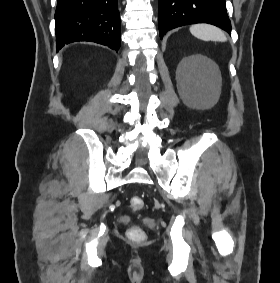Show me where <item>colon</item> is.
<instances>
[{"label": "colon", "mask_w": 280, "mask_h": 283, "mask_svg": "<svg viewBox=\"0 0 280 283\" xmlns=\"http://www.w3.org/2000/svg\"><path fill=\"white\" fill-rule=\"evenodd\" d=\"M130 205L131 208L135 211H139L143 208L144 206V201L141 197H132L130 200ZM128 235L132 238V239H137V240H141L144 238V232L141 228L139 227H132L129 229L128 231Z\"/></svg>", "instance_id": "colon-1"}]
</instances>
